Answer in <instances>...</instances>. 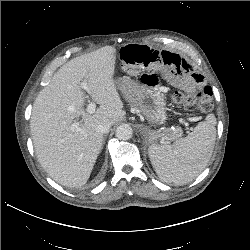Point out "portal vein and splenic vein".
Returning a JSON list of instances; mask_svg holds the SVG:
<instances>
[{
  "instance_id": "portal-vein-and-splenic-vein-1",
  "label": "portal vein and splenic vein",
  "mask_w": 250,
  "mask_h": 250,
  "mask_svg": "<svg viewBox=\"0 0 250 250\" xmlns=\"http://www.w3.org/2000/svg\"><path fill=\"white\" fill-rule=\"evenodd\" d=\"M80 86H81V88L85 89V90L87 91V93H90V92H91L90 89H89V87H88V85H87V83H86V81L82 82V83L80 84ZM95 109H96V104H95L94 102H92V101L89 102V104H88V106H87V112L90 113V114H92V113H94ZM71 129H72L73 131H74V130H79V129H80L79 123H77V122L73 123V124L71 125Z\"/></svg>"
}]
</instances>
